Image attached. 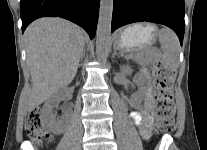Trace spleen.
Segmentation results:
<instances>
[{"instance_id": "1", "label": "spleen", "mask_w": 207, "mask_h": 150, "mask_svg": "<svg viewBox=\"0 0 207 150\" xmlns=\"http://www.w3.org/2000/svg\"><path fill=\"white\" fill-rule=\"evenodd\" d=\"M159 43L163 48L162 62L169 70H176L179 63L180 43L177 35L169 28L159 30Z\"/></svg>"}]
</instances>
